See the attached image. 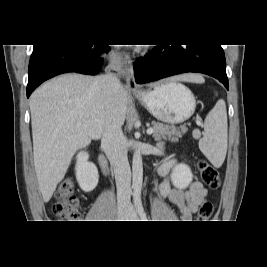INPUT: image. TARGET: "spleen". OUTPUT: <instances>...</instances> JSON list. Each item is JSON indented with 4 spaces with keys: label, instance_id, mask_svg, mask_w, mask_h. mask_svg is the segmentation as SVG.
<instances>
[{
    "label": "spleen",
    "instance_id": "spleen-1",
    "mask_svg": "<svg viewBox=\"0 0 267 267\" xmlns=\"http://www.w3.org/2000/svg\"><path fill=\"white\" fill-rule=\"evenodd\" d=\"M199 148L215 167L223 164L227 152V112L222 99L205 118L204 134L199 140Z\"/></svg>",
    "mask_w": 267,
    "mask_h": 267
}]
</instances>
